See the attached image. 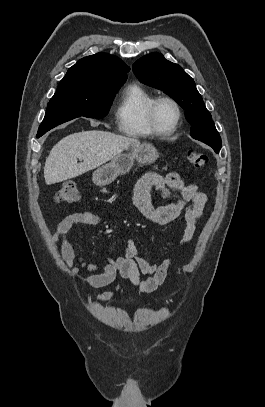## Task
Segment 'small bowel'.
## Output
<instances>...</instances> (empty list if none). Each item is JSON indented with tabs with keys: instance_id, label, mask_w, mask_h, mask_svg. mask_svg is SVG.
Here are the masks:
<instances>
[{
	"instance_id": "c3829d8e",
	"label": "small bowel",
	"mask_w": 265,
	"mask_h": 407,
	"mask_svg": "<svg viewBox=\"0 0 265 407\" xmlns=\"http://www.w3.org/2000/svg\"><path fill=\"white\" fill-rule=\"evenodd\" d=\"M152 189L157 190L164 197H170L173 190L179 191L181 197L176 201L156 207L152 203ZM207 200L206 194L201 192L197 185L185 184L177 172H171L165 177L155 172L144 174L137 181L133 196L134 204L139 212L156 224H167L180 215L184 216L185 228L179 245H185L192 240ZM100 222L99 215L90 211H80L66 215L58 224L53 234V242L60 246L61 258L70 272L73 275H79L80 269L86 270L88 274L83 276L82 280L87 286L96 289L113 283L118 273L143 293H151L161 286L167 277L172 258L165 257L157 263H151L140 253L135 241L131 238L126 242L125 254L109 259L103 266L85 261L75 251L67 237L72 226L85 224L97 227ZM141 275L146 278L142 279ZM119 289L118 285L115 290L100 292L96 299L101 302L109 301Z\"/></svg>"
}]
</instances>
